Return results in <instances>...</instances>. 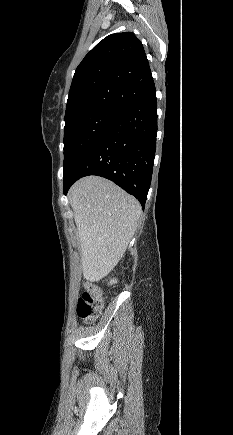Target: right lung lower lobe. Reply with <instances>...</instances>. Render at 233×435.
I'll list each match as a JSON object with an SVG mask.
<instances>
[{
  "label": "right lung lower lobe",
  "mask_w": 233,
  "mask_h": 435,
  "mask_svg": "<svg viewBox=\"0 0 233 435\" xmlns=\"http://www.w3.org/2000/svg\"><path fill=\"white\" fill-rule=\"evenodd\" d=\"M155 85L132 102L82 155L64 178V194L81 177H105L135 196L144 208L156 149Z\"/></svg>",
  "instance_id": "obj_1"
}]
</instances>
